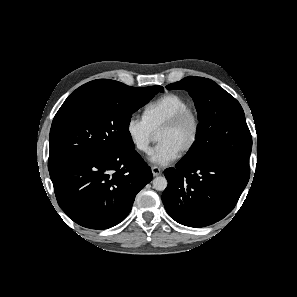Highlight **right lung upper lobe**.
I'll return each mask as SVG.
<instances>
[{"label":"right lung upper lobe","instance_id":"cb5924a9","mask_svg":"<svg viewBox=\"0 0 297 297\" xmlns=\"http://www.w3.org/2000/svg\"><path fill=\"white\" fill-rule=\"evenodd\" d=\"M100 80H109V79H98L94 81H90L79 88H77L66 100H73L78 97H82L88 94L96 93L99 91V88L101 87V81Z\"/></svg>","mask_w":297,"mask_h":297}]
</instances>
